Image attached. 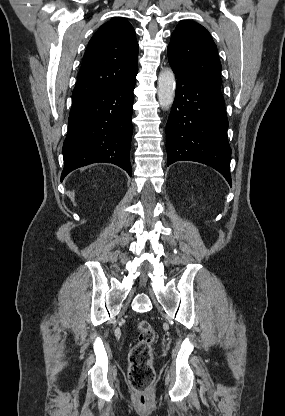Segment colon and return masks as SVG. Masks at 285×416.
Listing matches in <instances>:
<instances>
[{
  "label": "colon",
  "mask_w": 285,
  "mask_h": 416,
  "mask_svg": "<svg viewBox=\"0 0 285 416\" xmlns=\"http://www.w3.org/2000/svg\"><path fill=\"white\" fill-rule=\"evenodd\" d=\"M138 341L129 353V383L136 394L137 405L145 408L154 400L155 372L152 366V344L155 330L149 321L137 324Z\"/></svg>",
  "instance_id": "obj_1"
}]
</instances>
